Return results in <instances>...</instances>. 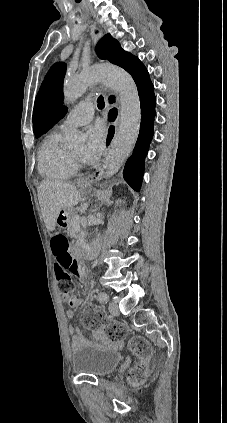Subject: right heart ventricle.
<instances>
[{
  "label": "right heart ventricle",
  "mask_w": 227,
  "mask_h": 423,
  "mask_svg": "<svg viewBox=\"0 0 227 423\" xmlns=\"http://www.w3.org/2000/svg\"><path fill=\"white\" fill-rule=\"evenodd\" d=\"M61 141V130L53 129L45 136L38 148L37 169L39 174L46 179H68L75 171L74 158L61 145Z\"/></svg>",
  "instance_id": "1"
}]
</instances>
